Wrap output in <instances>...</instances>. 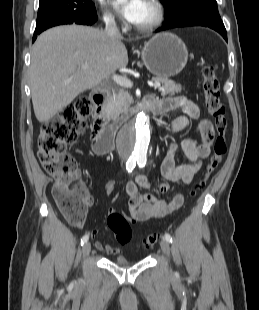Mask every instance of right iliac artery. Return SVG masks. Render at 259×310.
<instances>
[{
	"label": "right iliac artery",
	"instance_id": "obj_1",
	"mask_svg": "<svg viewBox=\"0 0 259 310\" xmlns=\"http://www.w3.org/2000/svg\"><path fill=\"white\" fill-rule=\"evenodd\" d=\"M135 166H136V160H128L126 163V169L129 173L133 171ZM88 239H89V235L85 234L81 238V245L83 246L88 241Z\"/></svg>",
	"mask_w": 259,
	"mask_h": 310
}]
</instances>
